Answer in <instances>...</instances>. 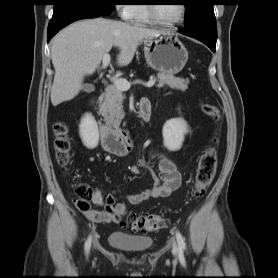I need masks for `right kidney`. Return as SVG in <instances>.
Returning a JSON list of instances; mask_svg holds the SVG:
<instances>
[{"label":"right kidney","instance_id":"right-kidney-1","mask_svg":"<svg viewBox=\"0 0 278 278\" xmlns=\"http://www.w3.org/2000/svg\"><path fill=\"white\" fill-rule=\"evenodd\" d=\"M79 134L85 147L94 149L98 145L99 132L98 126L91 114H85L81 119Z\"/></svg>","mask_w":278,"mask_h":278}]
</instances>
